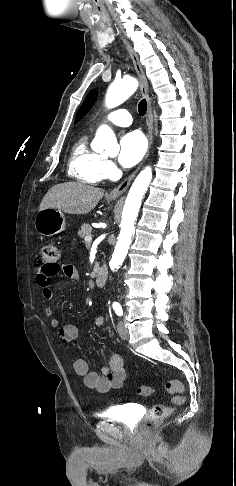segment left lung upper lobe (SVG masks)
Here are the masks:
<instances>
[{
  "instance_id": "left-lung-upper-lobe-1",
  "label": "left lung upper lobe",
  "mask_w": 236,
  "mask_h": 486,
  "mask_svg": "<svg viewBox=\"0 0 236 486\" xmlns=\"http://www.w3.org/2000/svg\"><path fill=\"white\" fill-rule=\"evenodd\" d=\"M96 97L97 92L95 90H91L78 111L75 123H77L90 110L96 100Z\"/></svg>"
}]
</instances>
